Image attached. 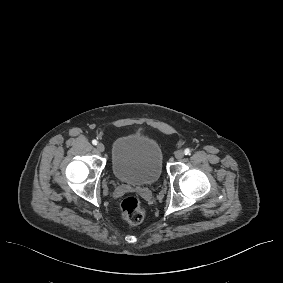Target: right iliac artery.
Returning <instances> with one entry per match:
<instances>
[{
    "label": "right iliac artery",
    "instance_id": "right-iliac-artery-1",
    "mask_svg": "<svg viewBox=\"0 0 283 283\" xmlns=\"http://www.w3.org/2000/svg\"><path fill=\"white\" fill-rule=\"evenodd\" d=\"M92 144H93V145H97V141H96V140H93V141H92Z\"/></svg>",
    "mask_w": 283,
    "mask_h": 283
}]
</instances>
